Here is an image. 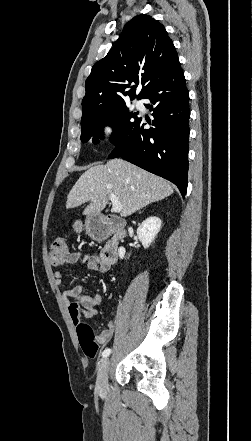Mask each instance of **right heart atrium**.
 <instances>
[{
    "instance_id": "right-heart-atrium-1",
    "label": "right heart atrium",
    "mask_w": 252,
    "mask_h": 441,
    "mask_svg": "<svg viewBox=\"0 0 252 441\" xmlns=\"http://www.w3.org/2000/svg\"><path fill=\"white\" fill-rule=\"evenodd\" d=\"M100 135L104 141H111L116 135V127L111 123H106L102 126Z\"/></svg>"
}]
</instances>
